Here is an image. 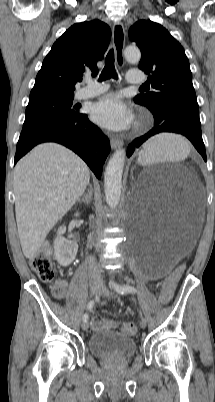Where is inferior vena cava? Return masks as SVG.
I'll use <instances>...</instances> for the list:
<instances>
[{
	"label": "inferior vena cava",
	"instance_id": "1",
	"mask_svg": "<svg viewBox=\"0 0 215 402\" xmlns=\"http://www.w3.org/2000/svg\"><path fill=\"white\" fill-rule=\"evenodd\" d=\"M89 278L92 283H100L101 281V271L100 268L93 257H89Z\"/></svg>",
	"mask_w": 215,
	"mask_h": 402
}]
</instances>
